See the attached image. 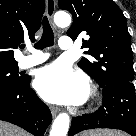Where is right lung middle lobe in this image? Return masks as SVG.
I'll return each mask as SVG.
<instances>
[{"label": "right lung middle lobe", "mask_w": 136, "mask_h": 136, "mask_svg": "<svg viewBox=\"0 0 136 136\" xmlns=\"http://www.w3.org/2000/svg\"><path fill=\"white\" fill-rule=\"evenodd\" d=\"M23 76H19L17 63L0 64V88H11L21 82Z\"/></svg>", "instance_id": "dd1d6c3e"}]
</instances>
